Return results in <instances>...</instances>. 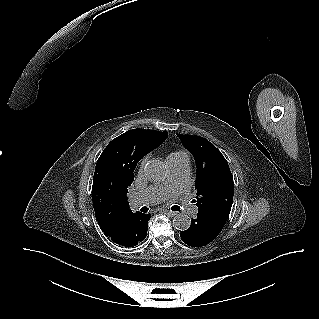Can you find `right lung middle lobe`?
<instances>
[{
  "label": "right lung middle lobe",
  "instance_id": "1",
  "mask_svg": "<svg viewBox=\"0 0 319 319\" xmlns=\"http://www.w3.org/2000/svg\"><path fill=\"white\" fill-rule=\"evenodd\" d=\"M137 161L124 147L108 144L100 155L94 173L92 200L94 207L126 200L134 180Z\"/></svg>",
  "mask_w": 319,
  "mask_h": 319
}]
</instances>
